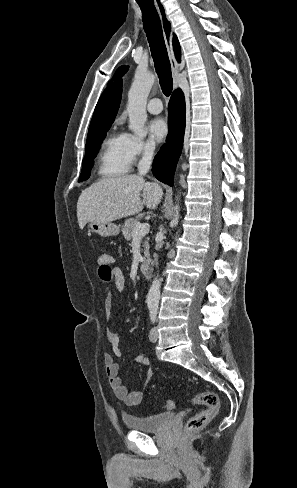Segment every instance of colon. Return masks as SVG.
Instances as JSON below:
<instances>
[{
  "instance_id": "1",
  "label": "colon",
  "mask_w": 297,
  "mask_h": 488,
  "mask_svg": "<svg viewBox=\"0 0 297 488\" xmlns=\"http://www.w3.org/2000/svg\"><path fill=\"white\" fill-rule=\"evenodd\" d=\"M109 262V254H102L98 258V271L102 276L107 278L110 273ZM192 403L202 405L203 409L187 421L185 427L187 433H194L203 429L211 420L216 417L220 407L219 398L214 392L200 393L192 398ZM163 408L166 410H172L175 408V402L169 400L163 404Z\"/></svg>"
}]
</instances>
